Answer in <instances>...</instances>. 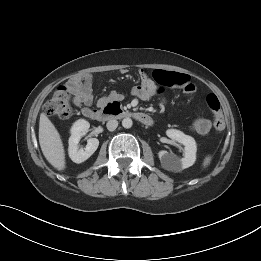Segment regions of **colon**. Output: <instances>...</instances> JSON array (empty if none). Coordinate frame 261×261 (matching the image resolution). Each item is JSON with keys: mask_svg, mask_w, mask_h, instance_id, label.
Returning a JSON list of instances; mask_svg holds the SVG:
<instances>
[{"mask_svg": "<svg viewBox=\"0 0 261 261\" xmlns=\"http://www.w3.org/2000/svg\"><path fill=\"white\" fill-rule=\"evenodd\" d=\"M206 103L213 115V125L216 130H223L225 128V121L221 110L219 99L215 94H209L206 97ZM44 111L51 116L61 120L68 119L72 114L70 106V92L61 86L52 97L45 103Z\"/></svg>", "mask_w": 261, "mask_h": 261, "instance_id": "colon-1", "label": "colon"}]
</instances>
